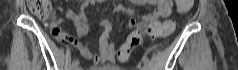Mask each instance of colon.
Returning <instances> with one entry per match:
<instances>
[{
	"label": "colon",
	"mask_w": 238,
	"mask_h": 70,
	"mask_svg": "<svg viewBox=\"0 0 238 70\" xmlns=\"http://www.w3.org/2000/svg\"><path fill=\"white\" fill-rule=\"evenodd\" d=\"M193 0H176L175 11L176 12H190V8L193 4ZM28 6L30 11L41 19H46L51 15L52 4L49 0H29ZM173 29V23L171 21H157V19H144V25L134 30L132 33H128L125 42H121L119 45L118 59H128L129 54L132 52V48L137 45L144 37H162L168 35ZM54 33H60V30L55 28Z\"/></svg>",
	"instance_id": "5ec220e1"
}]
</instances>
